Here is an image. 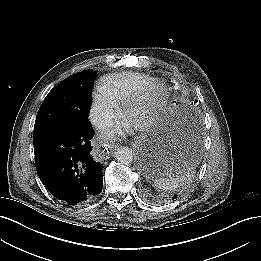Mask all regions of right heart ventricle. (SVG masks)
Wrapping results in <instances>:
<instances>
[{
	"mask_svg": "<svg viewBox=\"0 0 261 261\" xmlns=\"http://www.w3.org/2000/svg\"><path fill=\"white\" fill-rule=\"evenodd\" d=\"M136 82V79L126 76H118L111 79L109 83L106 84L104 89L109 93L111 97L122 98L134 85H136Z\"/></svg>",
	"mask_w": 261,
	"mask_h": 261,
	"instance_id": "right-heart-ventricle-1",
	"label": "right heart ventricle"
}]
</instances>
